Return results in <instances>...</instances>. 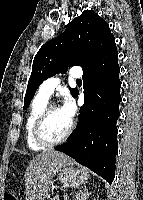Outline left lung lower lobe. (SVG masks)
Masks as SVG:
<instances>
[{"label": "left lung lower lobe", "instance_id": "obj_1", "mask_svg": "<svg viewBox=\"0 0 143 200\" xmlns=\"http://www.w3.org/2000/svg\"><path fill=\"white\" fill-rule=\"evenodd\" d=\"M120 68L115 38L83 69L84 105L68 141L56 147L110 184L115 177L117 127L121 102ZM78 92L74 97H77Z\"/></svg>", "mask_w": 143, "mask_h": 200}]
</instances>
